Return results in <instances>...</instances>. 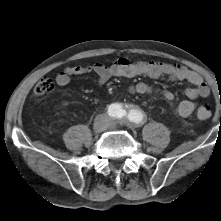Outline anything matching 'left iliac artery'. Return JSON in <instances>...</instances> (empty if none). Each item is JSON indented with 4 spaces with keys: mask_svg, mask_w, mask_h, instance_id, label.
<instances>
[{
    "mask_svg": "<svg viewBox=\"0 0 221 221\" xmlns=\"http://www.w3.org/2000/svg\"><path fill=\"white\" fill-rule=\"evenodd\" d=\"M128 119L131 122L137 123V124H141L144 122V114L141 110L138 109H132L129 114H128Z\"/></svg>",
    "mask_w": 221,
    "mask_h": 221,
    "instance_id": "left-iliac-artery-1",
    "label": "left iliac artery"
}]
</instances>
